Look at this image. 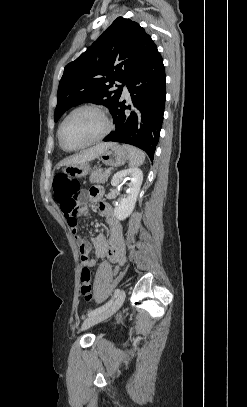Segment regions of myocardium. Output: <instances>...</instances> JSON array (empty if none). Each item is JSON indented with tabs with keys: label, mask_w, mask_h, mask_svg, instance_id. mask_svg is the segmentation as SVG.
Returning <instances> with one entry per match:
<instances>
[{
	"label": "myocardium",
	"mask_w": 247,
	"mask_h": 407,
	"mask_svg": "<svg viewBox=\"0 0 247 407\" xmlns=\"http://www.w3.org/2000/svg\"><path fill=\"white\" fill-rule=\"evenodd\" d=\"M83 110H89V111H93V112L97 113V114L102 118V120H103V122H104V124H105V128H104V130L102 131V133H101L99 136H97L96 138L92 139L91 141H89V142H87V143H85V144H83V145H81V146H79V147H76V148H67V147L63 144V142H62V137H61L63 126H64V124L66 123V121H67L72 115H74L75 113H77V112H79V111H83ZM112 128H113L112 121L110 120L109 116L107 115L106 111H105L103 108H101V107H99V106H95V105H81V106H78V107L74 108L72 111H70V112L64 117V119L61 121V123H60V125H59V128H58V131H57V138H58L59 145H60V147H61L63 150H65V151H67V152H74V151L82 150V149H84V148H87V147H89V146L95 144V143L100 142V141L103 140L106 136L109 135V133L112 131Z\"/></svg>",
	"instance_id": "myocardium-1"
}]
</instances>
